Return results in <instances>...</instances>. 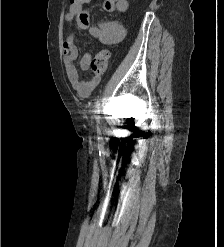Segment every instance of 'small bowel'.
<instances>
[{
	"mask_svg": "<svg viewBox=\"0 0 224 247\" xmlns=\"http://www.w3.org/2000/svg\"><path fill=\"white\" fill-rule=\"evenodd\" d=\"M85 4L91 0H85ZM127 0H104L103 8L106 12L117 11L124 13L128 10ZM65 21L68 23L75 22L79 29L89 30L92 37L98 39L103 44H115L120 42L125 36V28L118 21H97L91 23L90 14L84 9V6H70L66 12ZM64 65L67 78L75 90L81 97H88L94 88L100 82V75H94L90 79L84 80L80 77L79 72L74 64L78 57V48L75 45V35L70 34L63 42ZM92 61L91 54H82L79 65L82 70H88Z\"/></svg>",
	"mask_w": 224,
	"mask_h": 247,
	"instance_id": "small-bowel-1",
	"label": "small bowel"
}]
</instances>
